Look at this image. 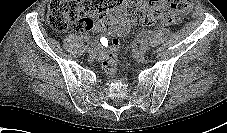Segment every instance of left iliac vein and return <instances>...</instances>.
<instances>
[{
  "instance_id": "4c4485c4",
  "label": "left iliac vein",
  "mask_w": 227,
  "mask_h": 133,
  "mask_svg": "<svg viewBox=\"0 0 227 133\" xmlns=\"http://www.w3.org/2000/svg\"><path fill=\"white\" fill-rule=\"evenodd\" d=\"M133 54L137 59H142L145 56V50L143 48H136L134 49Z\"/></svg>"
}]
</instances>
